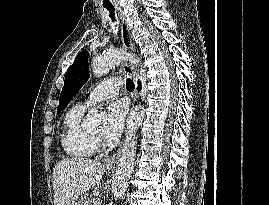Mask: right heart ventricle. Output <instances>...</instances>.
I'll return each instance as SVG.
<instances>
[{
	"mask_svg": "<svg viewBox=\"0 0 269 205\" xmlns=\"http://www.w3.org/2000/svg\"><path fill=\"white\" fill-rule=\"evenodd\" d=\"M84 110V107L76 105L63 120L61 145L64 152L73 159H87L96 149L92 135L81 124Z\"/></svg>",
	"mask_w": 269,
	"mask_h": 205,
	"instance_id": "obj_1",
	"label": "right heart ventricle"
}]
</instances>
